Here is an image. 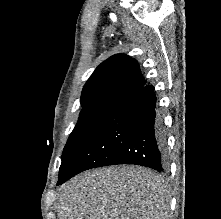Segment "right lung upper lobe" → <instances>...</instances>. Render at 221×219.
I'll return each mask as SVG.
<instances>
[{"label": "right lung upper lobe", "instance_id": "obj_1", "mask_svg": "<svg viewBox=\"0 0 221 219\" xmlns=\"http://www.w3.org/2000/svg\"><path fill=\"white\" fill-rule=\"evenodd\" d=\"M146 84L135 59L117 54L100 64L85 84L81 104L122 101Z\"/></svg>", "mask_w": 221, "mask_h": 219}]
</instances>
